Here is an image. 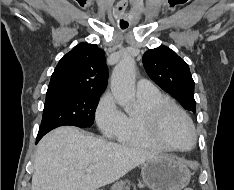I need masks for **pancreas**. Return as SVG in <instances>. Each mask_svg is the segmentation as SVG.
Here are the masks:
<instances>
[{
  "instance_id": "1",
  "label": "pancreas",
  "mask_w": 234,
  "mask_h": 190,
  "mask_svg": "<svg viewBox=\"0 0 234 190\" xmlns=\"http://www.w3.org/2000/svg\"><path fill=\"white\" fill-rule=\"evenodd\" d=\"M138 186H139V187H143V185H142L141 183H139ZM125 190H129V187L127 186V187L125 188Z\"/></svg>"
}]
</instances>
